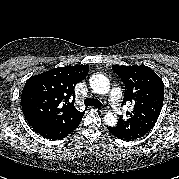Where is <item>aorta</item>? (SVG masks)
<instances>
[{
    "label": "aorta",
    "instance_id": "762f6f07",
    "mask_svg": "<svg viewBox=\"0 0 179 179\" xmlns=\"http://www.w3.org/2000/svg\"><path fill=\"white\" fill-rule=\"evenodd\" d=\"M90 86L94 93L105 95L110 91V81L102 74H94L90 78ZM106 124L114 126L117 123V115L108 112L104 118Z\"/></svg>",
    "mask_w": 179,
    "mask_h": 179
}]
</instances>
